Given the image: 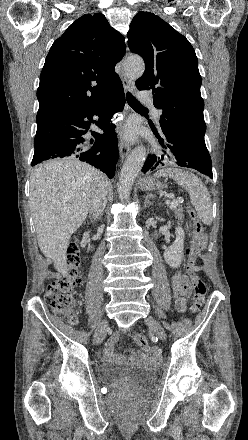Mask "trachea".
Listing matches in <instances>:
<instances>
[{"mask_svg": "<svg viewBox=\"0 0 248 440\" xmlns=\"http://www.w3.org/2000/svg\"><path fill=\"white\" fill-rule=\"evenodd\" d=\"M126 99H127V102H128V104L132 107V108H134V109H140V110H146L147 111V108H145V107H143L142 105H141V103L131 94V93H127L126 94Z\"/></svg>", "mask_w": 248, "mask_h": 440, "instance_id": "obj_1", "label": "trachea"}]
</instances>
